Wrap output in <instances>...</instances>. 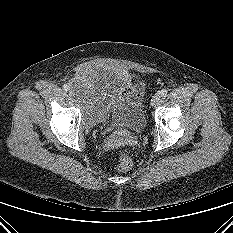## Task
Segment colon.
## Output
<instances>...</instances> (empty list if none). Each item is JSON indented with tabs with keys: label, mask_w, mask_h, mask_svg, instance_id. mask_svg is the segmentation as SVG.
<instances>
[{
	"label": "colon",
	"mask_w": 233,
	"mask_h": 233,
	"mask_svg": "<svg viewBox=\"0 0 233 233\" xmlns=\"http://www.w3.org/2000/svg\"><path fill=\"white\" fill-rule=\"evenodd\" d=\"M131 167H132V160H131L130 156L125 152H121L118 156L116 170L119 172H126Z\"/></svg>",
	"instance_id": "colon-1"
}]
</instances>
